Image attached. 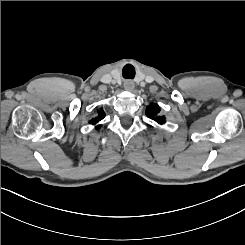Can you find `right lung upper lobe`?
Listing matches in <instances>:
<instances>
[{
    "mask_svg": "<svg viewBox=\"0 0 245 245\" xmlns=\"http://www.w3.org/2000/svg\"><path fill=\"white\" fill-rule=\"evenodd\" d=\"M105 117V113L103 112V110L101 109L100 112H99V115L95 118V119H92L90 121L91 124L95 125L97 124L99 121H101L103 118ZM100 127V125L96 126V128L98 129Z\"/></svg>",
    "mask_w": 245,
    "mask_h": 245,
    "instance_id": "1",
    "label": "right lung upper lobe"
}]
</instances>
